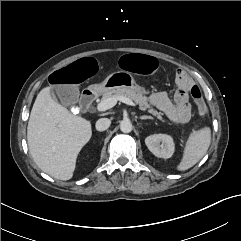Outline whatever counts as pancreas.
Listing matches in <instances>:
<instances>
[{"label": "pancreas", "mask_w": 241, "mask_h": 241, "mask_svg": "<svg viewBox=\"0 0 241 241\" xmlns=\"http://www.w3.org/2000/svg\"><path fill=\"white\" fill-rule=\"evenodd\" d=\"M120 96H124L127 97L131 100H133L134 102H136L137 104H139L140 109L145 111L148 110V112L150 114H152L153 116L157 117L160 121L165 122V120L162 117V113L158 112L156 109H154L148 102V97L143 95L142 92H136L134 90H131L129 88H117L114 89L112 91H108L103 93L102 96V100H105L107 98H111V97H120ZM170 125V123H168Z\"/></svg>", "instance_id": "pancreas-1"}]
</instances>
